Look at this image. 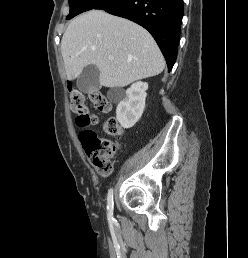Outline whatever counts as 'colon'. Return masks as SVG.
<instances>
[{
  "instance_id": "5ec220e1",
  "label": "colon",
  "mask_w": 248,
  "mask_h": 258,
  "mask_svg": "<svg viewBox=\"0 0 248 258\" xmlns=\"http://www.w3.org/2000/svg\"><path fill=\"white\" fill-rule=\"evenodd\" d=\"M89 99L92 105L101 112H109L112 108L111 102L97 89H91ZM71 109L77 115V124L87 127L97 123V118L90 114L85 103L84 95L78 90L70 92ZM106 133L113 137L122 134V127L115 118H108L104 123ZM79 140L102 177H109L113 172L112 159L117 154L119 144L115 140L99 137L92 130H84L79 135Z\"/></svg>"
}]
</instances>
